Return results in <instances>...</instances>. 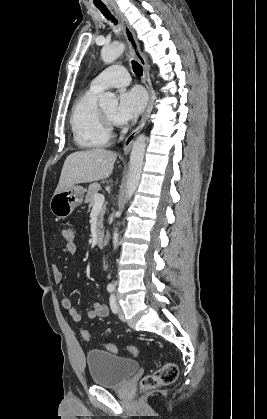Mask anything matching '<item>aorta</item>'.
Wrapping results in <instances>:
<instances>
[{
  "label": "aorta",
  "instance_id": "aorta-1",
  "mask_svg": "<svg viewBox=\"0 0 267 419\" xmlns=\"http://www.w3.org/2000/svg\"><path fill=\"white\" fill-rule=\"evenodd\" d=\"M124 51V45L120 43L105 46L101 50V57L105 63H112L115 61ZM101 107L117 106L118 101L113 93L106 92L102 95L100 102ZM145 136L139 135L132 145L129 161V173L126 182V199L130 200L136 191L140 177L142 173L143 160L145 154ZM119 233L117 230L113 233V246L116 249L119 245Z\"/></svg>",
  "mask_w": 267,
  "mask_h": 419
}]
</instances>
